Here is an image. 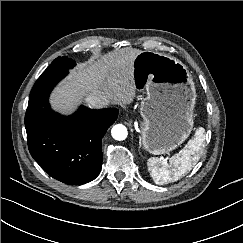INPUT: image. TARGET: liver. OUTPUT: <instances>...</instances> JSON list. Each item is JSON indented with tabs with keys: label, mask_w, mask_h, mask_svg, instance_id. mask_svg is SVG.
Returning <instances> with one entry per match:
<instances>
[{
	"label": "liver",
	"mask_w": 243,
	"mask_h": 243,
	"mask_svg": "<svg viewBox=\"0 0 243 243\" xmlns=\"http://www.w3.org/2000/svg\"><path fill=\"white\" fill-rule=\"evenodd\" d=\"M141 52L126 47L79 64L51 94L52 108L62 114H69L84 97L94 91L103 92L110 100L121 105L132 103L137 90L133 62Z\"/></svg>",
	"instance_id": "1"
}]
</instances>
